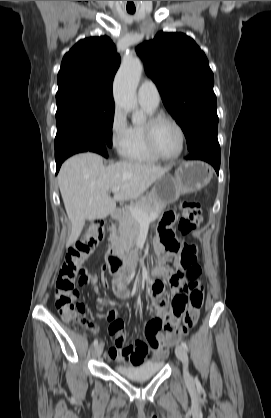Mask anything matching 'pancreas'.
<instances>
[{
	"instance_id": "1",
	"label": "pancreas",
	"mask_w": 271,
	"mask_h": 418,
	"mask_svg": "<svg viewBox=\"0 0 271 418\" xmlns=\"http://www.w3.org/2000/svg\"><path fill=\"white\" fill-rule=\"evenodd\" d=\"M133 206L143 210L148 215L155 213L157 217L165 208V204L152 192L141 197ZM139 232L140 222L126 209L120 217L118 228L112 229L111 239L127 249L137 243Z\"/></svg>"
}]
</instances>
